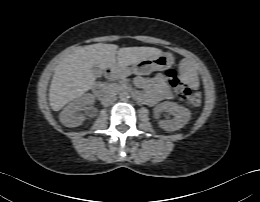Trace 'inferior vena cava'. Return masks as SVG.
I'll return each mask as SVG.
<instances>
[{"mask_svg": "<svg viewBox=\"0 0 260 202\" xmlns=\"http://www.w3.org/2000/svg\"><path fill=\"white\" fill-rule=\"evenodd\" d=\"M116 96L109 94V95H105L101 98V103L103 106L107 107L112 105L115 101H116Z\"/></svg>", "mask_w": 260, "mask_h": 202, "instance_id": "inferior-vena-cava-1", "label": "inferior vena cava"}]
</instances>
